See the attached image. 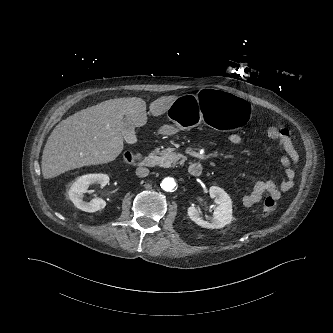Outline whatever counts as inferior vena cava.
I'll use <instances>...</instances> for the list:
<instances>
[{"instance_id": "602c4592", "label": "inferior vena cava", "mask_w": 333, "mask_h": 333, "mask_svg": "<svg viewBox=\"0 0 333 333\" xmlns=\"http://www.w3.org/2000/svg\"><path fill=\"white\" fill-rule=\"evenodd\" d=\"M149 174V169L145 167H138L136 169V175L138 177H146Z\"/></svg>"}]
</instances>
